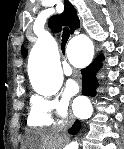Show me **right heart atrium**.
<instances>
[{"instance_id":"obj_1","label":"right heart atrium","mask_w":124,"mask_h":149,"mask_svg":"<svg viewBox=\"0 0 124 149\" xmlns=\"http://www.w3.org/2000/svg\"><path fill=\"white\" fill-rule=\"evenodd\" d=\"M68 99H56L35 96L31 101L28 124L35 128H46L57 123V118H64L67 114Z\"/></svg>"}]
</instances>
